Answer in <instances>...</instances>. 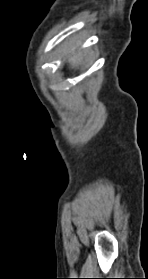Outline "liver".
Masks as SVG:
<instances>
[{
  "mask_svg": "<svg viewBox=\"0 0 148 279\" xmlns=\"http://www.w3.org/2000/svg\"><path fill=\"white\" fill-rule=\"evenodd\" d=\"M79 44L75 45L69 50V63L71 68L78 67L83 60V53L81 51H77Z\"/></svg>",
  "mask_w": 148,
  "mask_h": 279,
  "instance_id": "1",
  "label": "liver"
}]
</instances>
